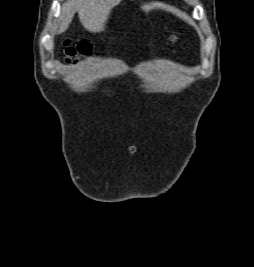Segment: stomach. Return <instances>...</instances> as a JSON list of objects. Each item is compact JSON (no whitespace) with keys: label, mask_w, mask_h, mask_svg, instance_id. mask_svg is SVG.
I'll return each mask as SVG.
<instances>
[{"label":"stomach","mask_w":254,"mask_h":267,"mask_svg":"<svg viewBox=\"0 0 254 267\" xmlns=\"http://www.w3.org/2000/svg\"><path fill=\"white\" fill-rule=\"evenodd\" d=\"M145 9H146V10H149V9H150V7H146Z\"/></svg>","instance_id":"1"}]
</instances>
